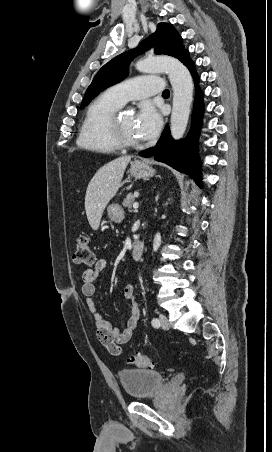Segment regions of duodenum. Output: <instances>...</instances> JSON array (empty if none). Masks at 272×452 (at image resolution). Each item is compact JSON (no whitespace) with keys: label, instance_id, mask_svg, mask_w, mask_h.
<instances>
[{"label":"duodenum","instance_id":"1","mask_svg":"<svg viewBox=\"0 0 272 452\" xmlns=\"http://www.w3.org/2000/svg\"><path fill=\"white\" fill-rule=\"evenodd\" d=\"M144 248H145L144 243L142 242L135 243L132 247L131 257L135 260L140 259L144 252Z\"/></svg>","mask_w":272,"mask_h":452}]
</instances>
